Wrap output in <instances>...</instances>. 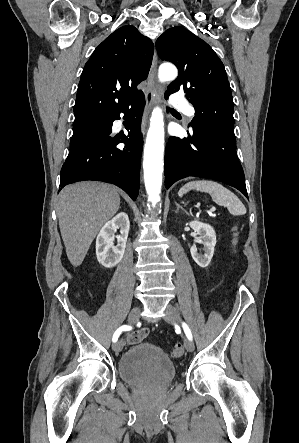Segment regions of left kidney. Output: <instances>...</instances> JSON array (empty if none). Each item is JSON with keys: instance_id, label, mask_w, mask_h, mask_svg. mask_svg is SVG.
<instances>
[{"instance_id": "left-kidney-1", "label": "left kidney", "mask_w": 299, "mask_h": 443, "mask_svg": "<svg viewBox=\"0 0 299 443\" xmlns=\"http://www.w3.org/2000/svg\"><path fill=\"white\" fill-rule=\"evenodd\" d=\"M190 227L199 235L195 242H202L204 245V254L201 255L198 253L196 245L194 244L190 249L191 256L200 267L205 268L211 262L214 254L216 233L212 226L197 220L190 222Z\"/></svg>"}]
</instances>
